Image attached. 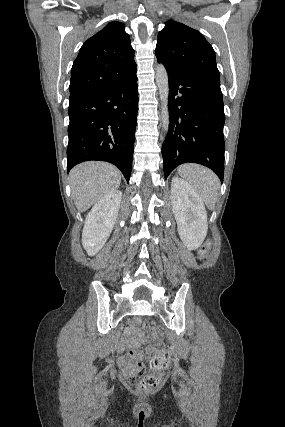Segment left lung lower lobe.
Listing matches in <instances>:
<instances>
[{"label": "left lung lower lobe", "instance_id": "0a47b994", "mask_svg": "<svg viewBox=\"0 0 285 427\" xmlns=\"http://www.w3.org/2000/svg\"><path fill=\"white\" fill-rule=\"evenodd\" d=\"M169 129L162 146L165 178L180 164L191 162L224 176L225 122L220 82L168 70Z\"/></svg>", "mask_w": 285, "mask_h": 427}]
</instances>
